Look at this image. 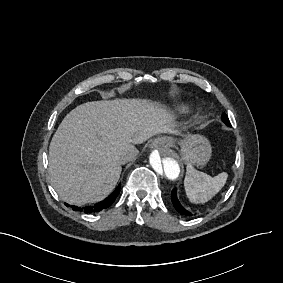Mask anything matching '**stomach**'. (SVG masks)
Segmentation results:
<instances>
[{"instance_id":"1","label":"stomach","mask_w":283,"mask_h":283,"mask_svg":"<svg viewBox=\"0 0 283 283\" xmlns=\"http://www.w3.org/2000/svg\"><path fill=\"white\" fill-rule=\"evenodd\" d=\"M165 144L170 146L172 139H165ZM180 154L186 163L204 165L209 161L211 147L208 140L202 136H188L180 143Z\"/></svg>"}]
</instances>
